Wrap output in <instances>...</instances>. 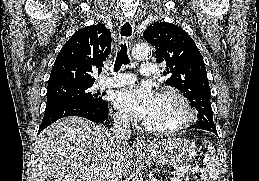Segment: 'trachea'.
Instances as JSON below:
<instances>
[{"label":"trachea","mask_w":259,"mask_h":181,"mask_svg":"<svg viewBox=\"0 0 259 181\" xmlns=\"http://www.w3.org/2000/svg\"><path fill=\"white\" fill-rule=\"evenodd\" d=\"M130 64V59L127 54V46L126 43H121L119 45V51L117 52L115 64H114V71L117 72L120 70L122 65Z\"/></svg>","instance_id":"obj_1"}]
</instances>
